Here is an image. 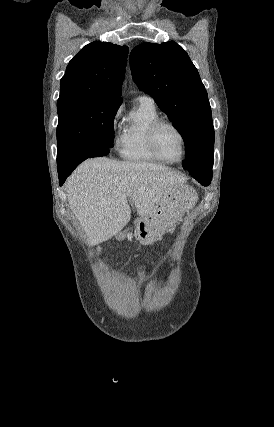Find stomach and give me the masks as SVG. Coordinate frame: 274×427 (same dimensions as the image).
Here are the masks:
<instances>
[{"mask_svg": "<svg viewBox=\"0 0 274 427\" xmlns=\"http://www.w3.org/2000/svg\"><path fill=\"white\" fill-rule=\"evenodd\" d=\"M195 192L189 186H185L184 194L180 202H161L159 206H156L155 210H152L151 214L146 217H137L134 221L135 229L134 235L142 245H151L153 241L159 239L162 233L169 231L170 227H173L177 223V215H182L183 208L190 204H195ZM128 229H125L123 233H117V239H124L126 237Z\"/></svg>", "mask_w": 274, "mask_h": 427, "instance_id": "1", "label": "stomach"}]
</instances>
